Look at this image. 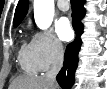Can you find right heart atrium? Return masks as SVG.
<instances>
[{
	"label": "right heart atrium",
	"mask_w": 107,
	"mask_h": 89,
	"mask_svg": "<svg viewBox=\"0 0 107 89\" xmlns=\"http://www.w3.org/2000/svg\"><path fill=\"white\" fill-rule=\"evenodd\" d=\"M40 71L49 69L63 57V46L51 31H38L30 41Z\"/></svg>",
	"instance_id": "1"
}]
</instances>
